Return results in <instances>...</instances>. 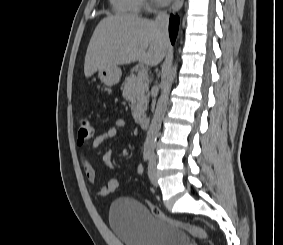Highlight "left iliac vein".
Listing matches in <instances>:
<instances>
[{
	"instance_id": "4c4485c4",
	"label": "left iliac vein",
	"mask_w": 283,
	"mask_h": 245,
	"mask_svg": "<svg viewBox=\"0 0 283 245\" xmlns=\"http://www.w3.org/2000/svg\"><path fill=\"white\" fill-rule=\"evenodd\" d=\"M148 176H149L151 183L157 186L158 183H157V175H156V158L153 155L151 156L149 160Z\"/></svg>"
}]
</instances>
